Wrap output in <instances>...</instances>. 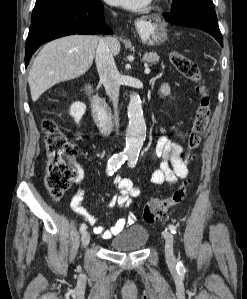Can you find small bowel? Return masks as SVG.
<instances>
[{
	"label": "small bowel",
	"mask_w": 247,
	"mask_h": 299,
	"mask_svg": "<svg viewBox=\"0 0 247 299\" xmlns=\"http://www.w3.org/2000/svg\"><path fill=\"white\" fill-rule=\"evenodd\" d=\"M170 96V87L167 83H162L158 90V98L164 99ZM156 155L161 158V162L151 175V182L155 185L174 184L179 179H184L188 175L189 157L184 154L183 147L166 136H161L157 140ZM82 174L78 173L77 182H81ZM113 185L117 188L116 194L111 199L109 206H118L127 209L133 199L140 195V189L130 178L117 175L113 179ZM83 190L78 189L71 200L72 209L81 215L89 224L94 225V232L102 238H111L120 233L126 226L134 222L133 216L120 218L112 227L106 228L98 225V219L90 214L83 206Z\"/></svg>",
	"instance_id": "obj_1"
}]
</instances>
